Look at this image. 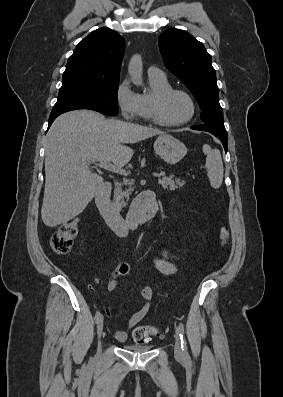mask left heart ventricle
Instances as JSON below:
<instances>
[{
  "instance_id": "b2bd125f",
  "label": "left heart ventricle",
  "mask_w": 283,
  "mask_h": 397,
  "mask_svg": "<svg viewBox=\"0 0 283 397\" xmlns=\"http://www.w3.org/2000/svg\"><path fill=\"white\" fill-rule=\"evenodd\" d=\"M191 113V104L182 94H173L165 102L163 116L167 121L177 122L186 119Z\"/></svg>"
}]
</instances>
